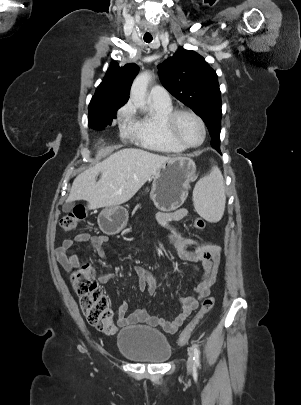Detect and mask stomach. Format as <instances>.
Segmentation results:
<instances>
[{
  "mask_svg": "<svg viewBox=\"0 0 301 405\" xmlns=\"http://www.w3.org/2000/svg\"><path fill=\"white\" fill-rule=\"evenodd\" d=\"M196 179V165L189 156L169 158L153 176L151 199L161 211L178 209L186 200L190 183ZM127 212L122 208H108L98 221L108 233H118L126 225Z\"/></svg>",
  "mask_w": 301,
  "mask_h": 405,
  "instance_id": "1",
  "label": "stomach"
}]
</instances>
